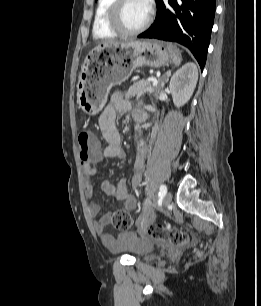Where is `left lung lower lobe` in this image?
Returning <instances> with one entry per match:
<instances>
[{"instance_id": "1", "label": "left lung lower lobe", "mask_w": 261, "mask_h": 306, "mask_svg": "<svg viewBox=\"0 0 261 306\" xmlns=\"http://www.w3.org/2000/svg\"><path fill=\"white\" fill-rule=\"evenodd\" d=\"M216 0H156L157 16L139 38L178 42L191 50L203 69L215 16Z\"/></svg>"}]
</instances>
